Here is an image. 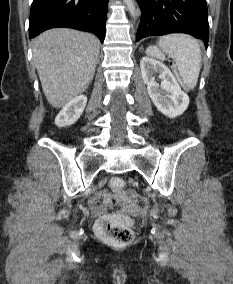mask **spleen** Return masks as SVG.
<instances>
[{"mask_svg": "<svg viewBox=\"0 0 233 284\" xmlns=\"http://www.w3.org/2000/svg\"><path fill=\"white\" fill-rule=\"evenodd\" d=\"M146 52L157 58L166 53L175 61L186 87H196L201 69V49L196 39L185 34L165 35L160 38L158 46H150Z\"/></svg>", "mask_w": 233, "mask_h": 284, "instance_id": "spleen-1", "label": "spleen"}]
</instances>
